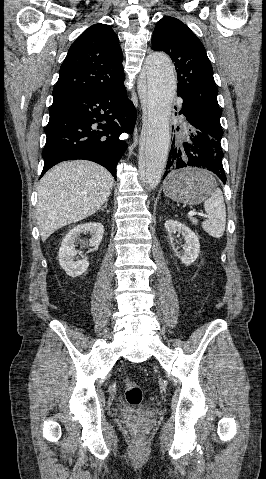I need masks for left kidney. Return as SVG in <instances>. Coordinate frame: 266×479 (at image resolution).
<instances>
[{
    "label": "left kidney",
    "instance_id": "1",
    "mask_svg": "<svg viewBox=\"0 0 266 479\" xmlns=\"http://www.w3.org/2000/svg\"><path fill=\"white\" fill-rule=\"evenodd\" d=\"M164 226L171 241L172 235L176 232L182 234V236L185 238V243L182 246L184 254L181 256V261L186 266L193 263L197 259L200 252V243L197 235L190 228L176 220H168L165 222Z\"/></svg>",
    "mask_w": 266,
    "mask_h": 479
}]
</instances>
